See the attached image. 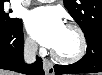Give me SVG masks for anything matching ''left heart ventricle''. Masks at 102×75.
I'll return each instance as SVG.
<instances>
[{"label": "left heart ventricle", "instance_id": "obj_1", "mask_svg": "<svg viewBox=\"0 0 102 75\" xmlns=\"http://www.w3.org/2000/svg\"><path fill=\"white\" fill-rule=\"evenodd\" d=\"M53 50L67 57L75 55L79 50V39L77 34L64 27Z\"/></svg>", "mask_w": 102, "mask_h": 75}]
</instances>
